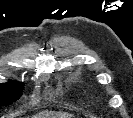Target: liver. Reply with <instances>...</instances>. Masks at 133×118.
Segmentation results:
<instances>
[{
	"instance_id": "1",
	"label": "liver",
	"mask_w": 133,
	"mask_h": 118,
	"mask_svg": "<svg viewBox=\"0 0 133 118\" xmlns=\"http://www.w3.org/2000/svg\"><path fill=\"white\" fill-rule=\"evenodd\" d=\"M47 116H50L48 113H39V114H36L34 115L33 118H46ZM58 116H61L60 118H71L72 115L70 114H62V115H58Z\"/></svg>"
}]
</instances>
